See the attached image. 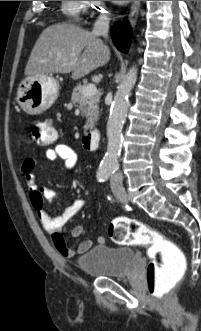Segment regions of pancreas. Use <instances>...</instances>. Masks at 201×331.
Instances as JSON below:
<instances>
[{
  "label": "pancreas",
  "mask_w": 201,
  "mask_h": 331,
  "mask_svg": "<svg viewBox=\"0 0 201 331\" xmlns=\"http://www.w3.org/2000/svg\"><path fill=\"white\" fill-rule=\"evenodd\" d=\"M86 85H77L72 92V102L83 109L86 115V125L84 128L87 130L92 128L97 121L99 115L98 103L100 100L99 94H94L92 96L86 97L83 94V89Z\"/></svg>",
  "instance_id": "obj_1"
}]
</instances>
